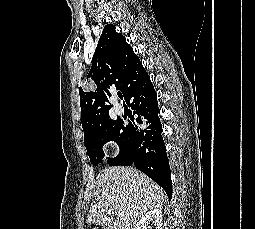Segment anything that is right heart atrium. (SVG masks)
Returning <instances> with one entry per match:
<instances>
[{"mask_svg": "<svg viewBox=\"0 0 255 229\" xmlns=\"http://www.w3.org/2000/svg\"><path fill=\"white\" fill-rule=\"evenodd\" d=\"M104 150H105V151H107V150H108L106 146L104 147Z\"/></svg>", "mask_w": 255, "mask_h": 229, "instance_id": "1", "label": "right heart atrium"}]
</instances>
